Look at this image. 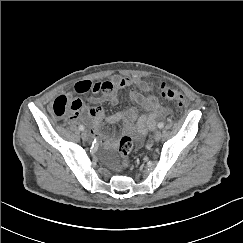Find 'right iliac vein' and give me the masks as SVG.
<instances>
[{
    "instance_id": "63e3f726",
    "label": "right iliac vein",
    "mask_w": 243,
    "mask_h": 243,
    "mask_svg": "<svg viewBox=\"0 0 243 243\" xmlns=\"http://www.w3.org/2000/svg\"><path fill=\"white\" fill-rule=\"evenodd\" d=\"M81 137H82V139H83L84 141H88V140H89V135H88V133H87L86 131H83V132L81 133Z\"/></svg>"
}]
</instances>
